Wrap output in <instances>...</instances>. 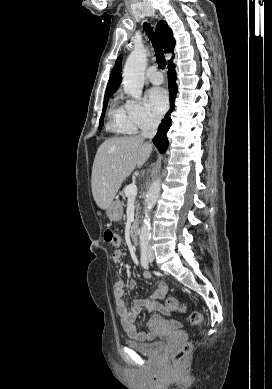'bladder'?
<instances>
[{"mask_svg":"<svg viewBox=\"0 0 272 389\" xmlns=\"http://www.w3.org/2000/svg\"><path fill=\"white\" fill-rule=\"evenodd\" d=\"M126 344L130 348H132V349H134L142 354H145V355H157V354L161 353L165 349V346H166L165 342L162 340L152 341V342H148V343H141V342L127 339Z\"/></svg>","mask_w":272,"mask_h":389,"instance_id":"1","label":"bladder"}]
</instances>
